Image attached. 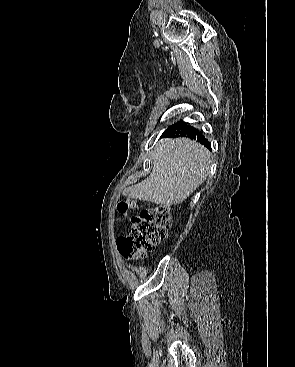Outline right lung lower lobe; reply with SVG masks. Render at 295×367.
<instances>
[{
	"mask_svg": "<svg viewBox=\"0 0 295 367\" xmlns=\"http://www.w3.org/2000/svg\"><path fill=\"white\" fill-rule=\"evenodd\" d=\"M162 136L173 137V138H176V137H189L190 139L197 140L202 145H204L206 148L211 150L210 143L208 142L207 139H205L202 136V133H200L194 127L187 125L183 121L177 122V123L171 125L170 127H168V129H166L164 131Z\"/></svg>",
	"mask_w": 295,
	"mask_h": 367,
	"instance_id": "1",
	"label": "right lung lower lobe"
}]
</instances>
